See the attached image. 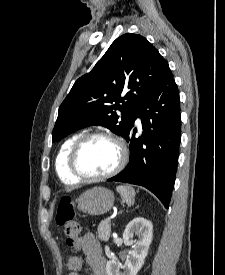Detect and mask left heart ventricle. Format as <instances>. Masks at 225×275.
<instances>
[{"label": "left heart ventricle", "mask_w": 225, "mask_h": 275, "mask_svg": "<svg viewBox=\"0 0 225 275\" xmlns=\"http://www.w3.org/2000/svg\"><path fill=\"white\" fill-rule=\"evenodd\" d=\"M119 151L117 145L104 138L88 141L77 159L79 170L86 175H102L111 171L117 164Z\"/></svg>", "instance_id": "1"}]
</instances>
